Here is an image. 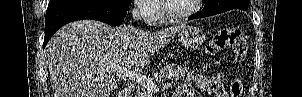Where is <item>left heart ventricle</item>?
<instances>
[{
    "label": "left heart ventricle",
    "mask_w": 302,
    "mask_h": 97,
    "mask_svg": "<svg viewBox=\"0 0 302 97\" xmlns=\"http://www.w3.org/2000/svg\"><path fill=\"white\" fill-rule=\"evenodd\" d=\"M170 7L174 13H182L194 5V0H169Z\"/></svg>",
    "instance_id": "obj_1"
}]
</instances>
